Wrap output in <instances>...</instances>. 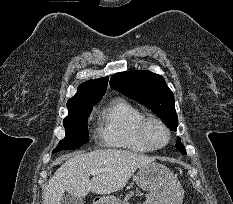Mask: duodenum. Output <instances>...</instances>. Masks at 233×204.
Here are the masks:
<instances>
[{"label":"duodenum","mask_w":233,"mask_h":204,"mask_svg":"<svg viewBox=\"0 0 233 204\" xmlns=\"http://www.w3.org/2000/svg\"><path fill=\"white\" fill-rule=\"evenodd\" d=\"M94 204H101L99 200H95Z\"/></svg>","instance_id":"410a0bca"}]
</instances>
